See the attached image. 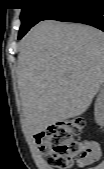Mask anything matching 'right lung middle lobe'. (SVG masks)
<instances>
[{
    "mask_svg": "<svg viewBox=\"0 0 104 169\" xmlns=\"http://www.w3.org/2000/svg\"><path fill=\"white\" fill-rule=\"evenodd\" d=\"M21 27L19 37L21 39L27 31L37 24L58 5L56 0H22Z\"/></svg>",
    "mask_w": 104,
    "mask_h": 169,
    "instance_id": "obj_1",
    "label": "right lung middle lobe"
}]
</instances>
